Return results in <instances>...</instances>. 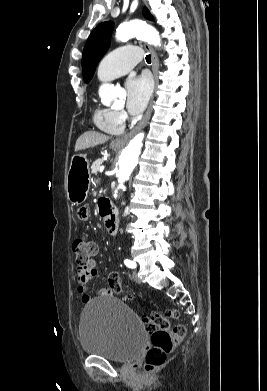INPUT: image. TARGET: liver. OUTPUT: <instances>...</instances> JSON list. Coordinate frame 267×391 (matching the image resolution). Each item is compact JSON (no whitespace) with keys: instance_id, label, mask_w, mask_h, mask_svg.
Returning a JSON list of instances; mask_svg holds the SVG:
<instances>
[{"instance_id":"obj_1","label":"liver","mask_w":267,"mask_h":391,"mask_svg":"<svg viewBox=\"0 0 267 391\" xmlns=\"http://www.w3.org/2000/svg\"><path fill=\"white\" fill-rule=\"evenodd\" d=\"M109 139L110 137L105 134L95 131H87L77 139L75 144V151L77 152L79 150H84L100 144H104Z\"/></svg>"}]
</instances>
